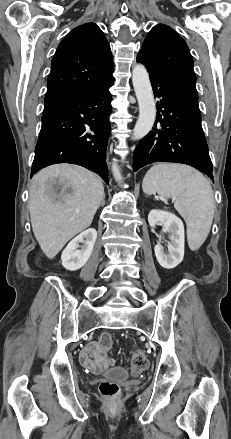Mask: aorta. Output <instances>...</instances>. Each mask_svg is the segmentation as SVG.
Masks as SVG:
<instances>
[{
	"label": "aorta",
	"mask_w": 231,
	"mask_h": 439,
	"mask_svg": "<svg viewBox=\"0 0 231 439\" xmlns=\"http://www.w3.org/2000/svg\"><path fill=\"white\" fill-rule=\"evenodd\" d=\"M132 82L139 105V117L133 129V140L142 139L152 129L156 117L154 95L146 68L137 64L132 70ZM112 172L117 182H122L116 160L112 164Z\"/></svg>",
	"instance_id": "762f6f07"
}]
</instances>
